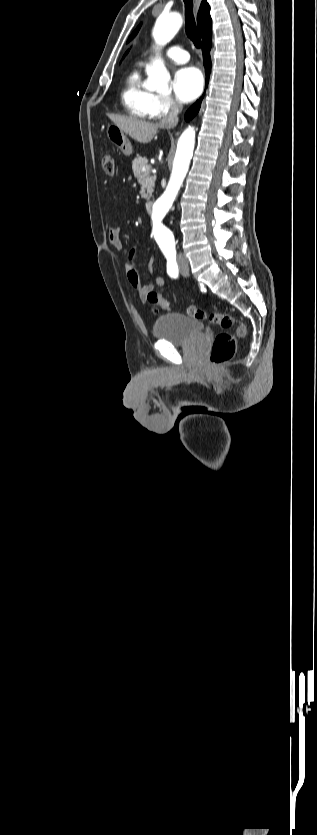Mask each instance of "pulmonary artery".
Segmentation results:
<instances>
[{
    "mask_svg": "<svg viewBox=\"0 0 317 835\" xmlns=\"http://www.w3.org/2000/svg\"><path fill=\"white\" fill-rule=\"evenodd\" d=\"M165 56L167 58H169V59H171V60H173L177 63H181V64L186 63L189 60L188 52L186 50L178 47V46H174V47L169 48L165 52Z\"/></svg>",
    "mask_w": 317,
    "mask_h": 835,
    "instance_id": "1",
    "label": "pulmonary artery"
}]
</instances>
